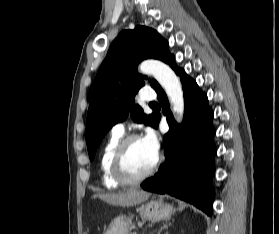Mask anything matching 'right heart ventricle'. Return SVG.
<instances>
[{
	"mask_svg": "<svg viewBox=\"0 0 279 234\" xmlns=\"http://www.w3.org/2000/svg\"><path fill=\"white\" fill-rule=\"evenodd\" d=\"M122 137L123 134L113 133L111 138L103 147L100 155L99 164H100L102 183L107 188H117L120 186V183L117 182L112 175L111 162H112L114 151L117 145L119 144V142L122 140Z\"/></svg>",
	"mask_w": 279,
	"mask_h": 234,
	"instance_id": "e07e8e85",
	"label": "right heart ventricle"
}]
</instances>
